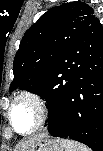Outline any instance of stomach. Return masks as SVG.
Segmentation results:
<instances>
[{"instance_id":"obj_1","label":"stomach","mask_w":103,"mask_h":151,"mask_svg":"<svg viewBox=\"0 0 103 151\" xmlns=\"http://www.w3.org/2000/svg\"><path fill=\"white\" fill-rule=\"evenodd\" d=\"M24 151H62L58 140L47 136L33 138Z\"/></svg>"}]
</instances>
